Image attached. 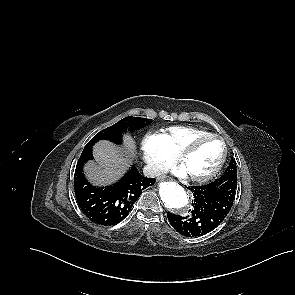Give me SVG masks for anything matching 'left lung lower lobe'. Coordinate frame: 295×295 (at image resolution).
I'll return each instance as SVG.
<instances>
[{
	"label": "left lung lower lobe",
	"mask_w": 295,
	"mask_h": 295,
	"mask_svg": "<svg viewBox=\"0 0 295 295\" xmlns=\"http://www.w3.org/2000/svg\"><path fill=\"white\" fill-rule=\"evenodd\" d=\"M189 189L194 196L191 214L182 217L167 213V217L182 235L202 236L214 230L230 212L237 190V175L224 174L214 182Z\"/></svg>",
	"instance_id": "left-lung-lower-lobe-1"
}]
</instances>
